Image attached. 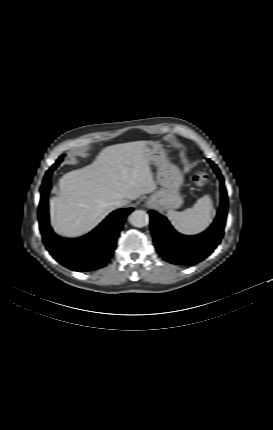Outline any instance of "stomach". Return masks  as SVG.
<instances>
[{
    "label": "stomach",
    "mask_w": 273,
    "mask_h": 430,
    "mask_svg": "<svg viewBox=\"0 0 273 430\" xmlns=\"http://www.w3.org/2000/svg\"><path fill=\"white\" fill-rule=\"evenodd\" d=\"M149 164L157 166V182L161 186L148 200L150 205L161 210L179 208L183 203L180 187L184 178L179 168L166 157L165 150L158 142L149 141L144 147Z\"/></svg>",
    "instance_id": "1"
}]
</instances>
